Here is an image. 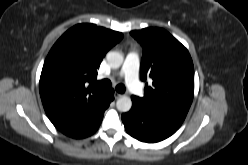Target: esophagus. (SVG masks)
I'll list each match as a JSON object with an SVG mask.
<instances>
[{"label":"esophagus","instance_id":"34e87169","mask_svg":"<svg viewBox=\"0 0 248 165\" xmlns=\"http://www.w3.org/2000/svg\"><path fill=\"white\" fill-rule=\"evenodd\" d=\"M122 96H123V94L118 93V92H115V94H114L115 99H118V98H120Z\"/></svg>","mask_w":248,"mask_h":165}]
</instances>
